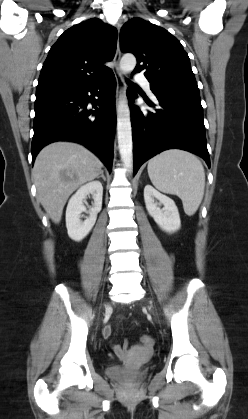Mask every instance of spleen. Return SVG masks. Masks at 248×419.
Listing matches in <instances>:
<instances>
[{
  "mask_svg": "<svg viewBox=\"0 0 248 419\" xmlns=\"http://www.w3.org/2000/svg\"><path fill=\"white\" fill-rule=\"evenodd\" d=\"M148 175L163 193L177 195L188 216L197 211L205 189V172L201 161L192 153L170 149L148 162Z\"/></svg>",
  "mask_w": 248,
  "mask_h": 419,
  "instance_id": "obj_1",
  "label": "spleen"
}]
</instances>
